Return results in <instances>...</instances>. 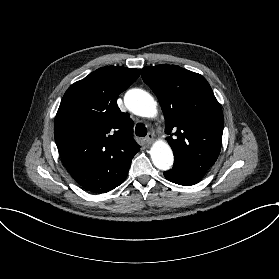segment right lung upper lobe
I'll return each mask as SVG.
<instances>
[{"instance_id":"cb5924a9","label":"right lung upper lobe","mask_w":279,"mask_h":279,"mask_svg":"<svg viewBox=\"0 0 279 279\" xmlns=\"http://www.w3.org/2000/svg\"><path fill=\"white\" fill-rule=\"evenodd\" d=\"M137 69L99 68L69 87L55 117L54 137L73 179L93 193H105L127 177L139 151L133 122L117 106L118 95L139 77Z\"/></svg>"}]
</instances>
